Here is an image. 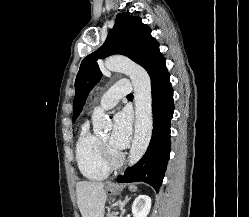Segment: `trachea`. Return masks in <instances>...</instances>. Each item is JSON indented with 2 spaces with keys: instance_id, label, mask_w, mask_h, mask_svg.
Wrapping results in <instances>:
<instances>
[{
  "instance_id": "obj_1",
  "label": "trachea",
  "mask_w": 249,
  "mask_h": 217,
  "mask_svg": "<svg viewBox=\"0 0 249 217\" xmlns=\"http://www.w3.org/2000/svg\"><path fill=\"white\" fill-rule=\"evenodd\" d=\"M132 96H133V94H129V95H128V97H132Z\"/></svg>"
}]
</instances>
